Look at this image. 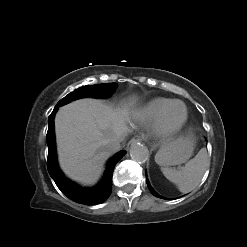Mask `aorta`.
Masks as SVG:
<instances>
[{
	"label": "aorta",
	"mask_w": 247,
	"mask_h": 247,
	"mask_svg": "<svg viewBox=\"0 0 247 247\" xmlns=\"http://www.w3.org/2000/svg\"><path fill=\"white\" fill-rule=\"evenodd\" d=\"M130 156L135 162L143 163L148 159V151L142 144L135 143L130 148Z\"/></svg>",
	"instance_id": "1"
}]
</instances>
